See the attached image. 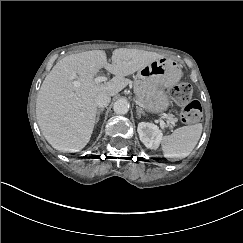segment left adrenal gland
Here are the masks:
<instances>
[{
  "instance_id": "a2214340",
  "label": "left adrenal gland",
  "mask_w": 243,
  "mask_h": 243,
  "mask_svg": "<svg viewBox=\"0 0 243 243\" xmlns=\"http://www.w3.org/2000/svg\"><path fill=\"white\" fill-rule=\"evenodd\" d=\"M136 112H137L138 118H141V114L144 113V111L138 106H136Z\"/></svg>"
}]
</instances>
